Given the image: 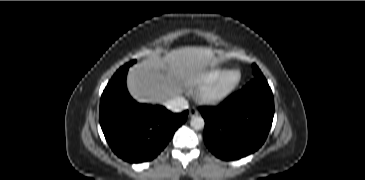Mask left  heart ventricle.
Listing matches in <instances>:
<instances>
[{
    "label": "left heart ventricle",
    "mask_w": 365,
    "mask_h": 180,
    "mask_svg": "<svg viewBox=\"0 0 365 180\" xmlns=\"http://www.w3.org/2000/svg\"><path fill=\"white\" fill-rule=\"evenodd\" d=\"M235 77H236L235 75L229 76L227 79L224 80V82L222 83V85H226L228 83L233 82L235 80Z\"/></svg>",
    "instance_id": "1"
}]
</instances>
